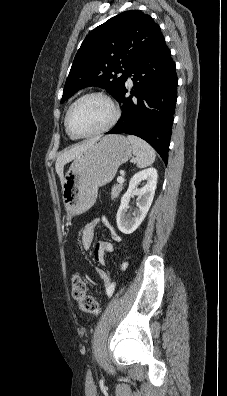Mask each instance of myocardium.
<instances>
[{"label": "myocardium", "instance_id": "1", "mask_svg": "<svg viewBox=\"0 0 227 396\" xmlns=\"http://www.w3.org/2000/svg\"><path fill=\"white\" fill-rule=\"evenodd\" d=\"M90 97H99V98L104 99L108 103V105L110 106V108L112 110L111 119L108 121V123H106L104 126H102L101 128H99L95 131H92V132L86 133V134H77L70 127L69 119H70L71 112H72L73 108L79 102H81L82 100H84L86 98H90ZM120 117H121V110H120L119 106L117 105V103L113 100V98L110 95H108L107 93H104L102 91H90V92H86V93L82 94L81 96H79L77 99H75L70 104V106L67 109L66 115H65L64 124H65L66 131L70 136H72L75 139H82V138L94 137V136H97V135H100V134H103V133L109 131L117 124Z\"/></svg>", "mask_w": 227, "mask_h": 396}]
</instances>
